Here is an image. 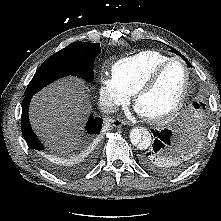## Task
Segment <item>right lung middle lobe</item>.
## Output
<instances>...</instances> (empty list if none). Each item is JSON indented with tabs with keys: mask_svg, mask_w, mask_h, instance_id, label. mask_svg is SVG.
Returning a JSON list of instances; mask_svg holds the SVG:
<instances>
[{
	"mask_svg": "<svg viewBox=\"0 0 221 221\" xmlns=\"http://www.w3.org/2000/svg\"><path fill=\"white\" fill-rule=\"evenodd\" d=\"M101 52L99 43L74 42L49 57L37 70L24 96H32L49 83L76 75L87 81L94 77V59Z\"/></svg>",
	"mask_w": 221,
	"mask_h": 221,
	"instance_id": "right-lung-middle-lobe-1",
	"label": "right lung middle lobe"
}]
</instances>
